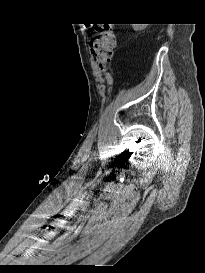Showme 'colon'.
I'll return each mask as SVG.
<instances>
[{
  "mask_svg": "<svg viewBox=\"0 0 205 273\" xmlns=\"http://www.w3.org/2000/svg\"><path fill=\"white\" fill-rule=\"evenodd\" d=\"M93 64L100 71L109 64L115 47V34L112 25L96 27L94 37L89 42Z\"/></svg>",
  "mask_w": 205,
  "mask_h": 273,
  "instance_id": "obj_1",
  "label": "colon"
}]
</instances>
